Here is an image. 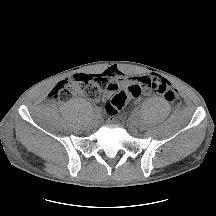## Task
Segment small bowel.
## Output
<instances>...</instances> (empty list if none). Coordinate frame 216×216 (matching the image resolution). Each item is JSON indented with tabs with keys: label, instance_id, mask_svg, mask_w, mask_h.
Returning <instances> with one entry per match:
<instances>
[{
	"label": "small bowel",
	"instance_id": "1",
	"mask_svg": "<svg viewBox=\"0 0 216 216\" xmlns=\"http://www.w3.org/2000/svg\"><path fill=\"white\" fill-rule=\"evenodd\" d=\"M99 75L105 77L108 80V86L102 94V100L104 101L108 100L119 88H126L132 85H136L140 82L141 78L144 77L132 76L130 74L123 72L117 67L107 68ZM139 95L133 97L132 99H138Z\"/></svg>",
	"mask_w": 216,
	"mask_h": 216
}]
</instances>
